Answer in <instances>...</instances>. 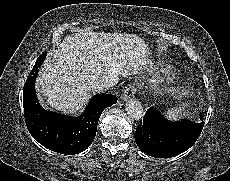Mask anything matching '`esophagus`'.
<instances>
[{
	"instance_id": "34e87169",
	"label": "esophagus",
	"mask_w": 230,
	"mask_h": 181,
	"mask_svg": "<svg viewBox=\"0 0 230 181\" xmlns=\"http://www.w3.org/2000/svg\"><path fill=\"white\" fill-rule=\"evenodd\" d=\"M135 93H136L135 87L133 85H130L124 90L121 99L123 101L131 100L134 97Z\"/></svg>"
}]
</instances>
